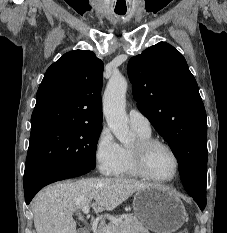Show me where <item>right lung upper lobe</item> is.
I'll return each mask as SVG.
<instances>
[{
	"instance_id": "obj_1",
	"label": "right lung upper lobe",
	"mask_w": 227,
	"mask_h": 233,
	"mask_svg": "<svg viewBox=\"0 0 227 233\" xmlns=\"http://www.w3.org/2000/svg\"><path fill=\"white\" fill-rule=\"evenodd\" d=\"M103 62L91 51L64 54L46 71L36 95L31 134L74 124H101Z\"/></svg>"
}]
</instances>
